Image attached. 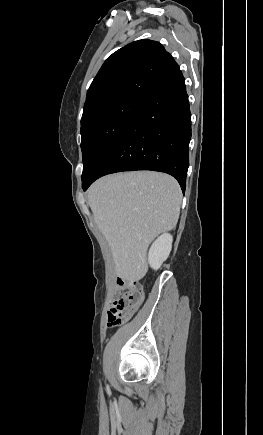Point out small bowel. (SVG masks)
Masks as SVG:
<instances>
[{
    "instance_id": "c3829d8e",
    "label": "small bowel",
    "mask_w": 263,
    "mask_h": 435,
    "mask_svg": "<svg viewBox=\"0 0 263 435\" xmlns=\"http://www.w3.org/2000/svg\"><path fill=\"white\" fill-rule=\"evenodd\" d=\"M118 296V292H116L115 294H114V297H113V299H112V301H111V304H112V302L115 300V298Z\"/></svg>"
}]
</instances>
